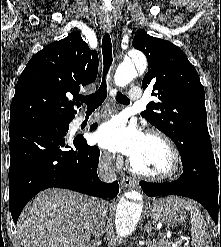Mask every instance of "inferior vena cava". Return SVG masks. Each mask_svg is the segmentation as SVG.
<instances>
[{"mask_svg": "<svg viewBox=\"0 0 221 247\" xmlns=\"http://www.w3.org/2000/svg\"><path fill=\"white\" fill-rule=\"evenodd\" d=\"M111 155L106 154L103 161L99 164V175L104 181H112L115 178V173L112 168ZM103 201L97 200L96 207L93 213V235L95 239H99L103 233V228L105 226V216L106 212L103 210Z\"/></svg>", "mask_w": 221, "mask_h": 247, "instance_id": "602c4592", "label": "inferior vena cava"}]
</instances>
